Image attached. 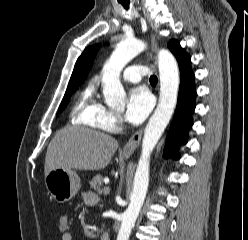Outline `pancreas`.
Masks as SVG:
<instances>
[{
	"label": "pancreas",
	"mask_w": 248,
	"mask_h": 240,
	"mask_svg": "<svg viewBox=\"0 0 248 240\" xmlns=\"http://www.w3.org/2000/svg\"><path fill=\"white\" fill-rule=\"evenodd\" d=\"M102 182H103V177L101 175H97L89 182V184L91 188L96 190L98 193H101L100 187L102 185Z\"/></svg>",
	"instance_id": "obj_1"
}]
</instances>
